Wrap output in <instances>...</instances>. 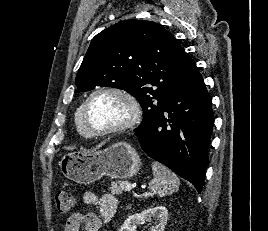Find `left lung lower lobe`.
<instances>
[{"label": "left lung lower lobe", "instance_id": "1", "mask_svg": "<svg viewBox=\"0 0 268 231\" xmlns=\"http://www.w3.org/2000/svg\"><path fill=\"white\" fill-rule=\"evenodd\" d=\"M213 124L211 97L195 67L171 90L154 125L135 135L149 157L190 181L200 193Z\"/></svg>", "mask_w": 268, "mask_h": 231}]
</instances>
